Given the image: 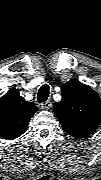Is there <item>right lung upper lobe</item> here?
Returning a JSON list of instances; mask_svg holds the SVG:
<instances>
[{
    "label": "right lung upper lobe",
    "instance_id": "1",
    "mask_svg": "<svg viewBox=\"0 0 101 180\" xmlns=\"http://www.w3.org/2000/svg\"><path fill=\"white\" fill-rule=\"evenodd\" d=\"M37 110L33 102L25 101L16 88H11L0 99V136L4 139L21 136Z\"/></svg>",
    "mask_w": 101,
    "mask_h": 180
}]
</instances>
